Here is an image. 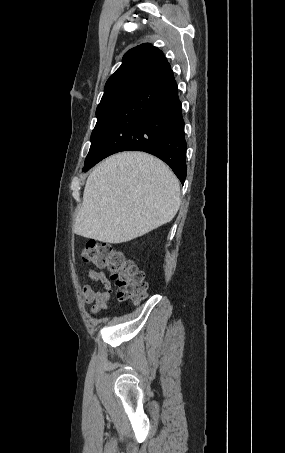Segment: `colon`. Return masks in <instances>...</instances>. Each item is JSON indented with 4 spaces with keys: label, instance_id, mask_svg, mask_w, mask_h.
Listing matches in <instances>:
<instances>
[{
    "label": "colon",
    "instance_id": "colon-1",
    "mask_svg": "<svg viewBox=\"0 0 285 453\" xmlns=\"http://www.w3.org/2000/svg\"><path fill=\"white\" fill-rule=\"evenodd\" d=\"M85 262L107 269L117 286V297L121 301L139 303L146 297L147 283L142 270L123 252L95 240L87 242L82 252Z\"/></svg>",
    "mask_w": 285,
    "mask_h": 453
}]
</instances>
